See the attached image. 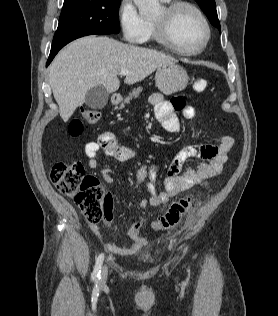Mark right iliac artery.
Here are the masks:
<instances>
[{
	"label": "right iliac artery",
	"mask_w": 278,
	"mask_h": 316,
	"mask_svg": "<svg viewBox=\"0 0 278 316\" xmlns=\"http://www.w3.org/2000/svg\"><path fill=\"white\" fill-rule=\"evenodd\" d=\"M104 254H100L96 260L95 267L92 273L93 280L100 279L101 266L103 264Z\"/></svg>",
	"instance_id": "1"
}]
</instances>
